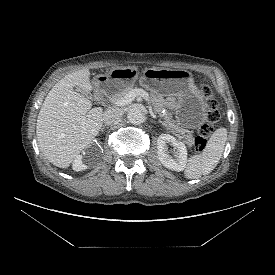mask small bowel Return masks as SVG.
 <instances>
[{
    "label": "small bowel",
    "instance_id": "1",
    "mask_svg": "<svg viewBox=\"0 0 275 275\" xmlns=\"http://www.w3.org/2000/svg\"><path fill=\"white\" fill-rule=\"evenodd\" d=\"M168 105H169V106H172V105H173V103H172L171 101H169V102H168Z\"/></svg>",
    "mask_w": 275,
    "mask_h": 275
}]
</instances>
